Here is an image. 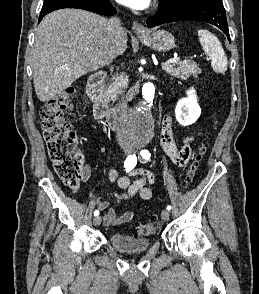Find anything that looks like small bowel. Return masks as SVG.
Returning a JSON list of instances; mask_svg holds the SVG:
<instances>
[{
    "mask_svg": "<svg viewBox=\"0 0 259 294\" xmlns=\"http://www.w3.org/2000/svg\"><path fill=\"white\" fill-rule=\"evenodd\" d=\"M193 141L191 136H187L183 139V146L177 147L175 144L173 131H172V119L169 115L165 116L161 125V144L165 152L171 158V160L179 165L183 166L187 164L191 157L190 143ZM128 174L118 176L117 172L110 170L108 172V179L111 182H116L119 188L125 190L124 193L117 195V198L122 201L131 200L136 195H139L144 200H149L152 197V192L148 187V184L153 183L155 180L154 174L142 168H133L127 172ZM91 175V168L88 163H85L82 169V179L86 182ZM130 176L137 177L132 181ZM97 207L105 211L103 223L106 226L109 225H121L129 222L132 219V211H124L121 214H117L116 211L110 206V203L106 200L100 199L97 202Z\"/></svg>",
    "mask_w": 259,
    "mask_h": 294,
    "instance_id": "c3829d8e",
    "label": "small bowel"
}]
</instances>
